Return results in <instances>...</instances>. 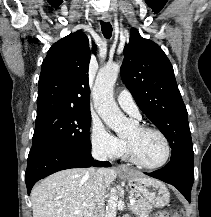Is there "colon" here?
Segmentation results:
<instances>
[{
    "mask_svg": "<svg viewBox=\"0 0 211 217\" xmlns=\"http://www.w3.org/2000/svg\"><path fill=\"white\" fill-rule=\"evenodd\" d=\"M156 217H179V215L171 214V213L163 211V212L158 213Z\"/></svg>",
    "mask_w": 211,
    "mask_h": 217,
    "instance_id": "colon-1",
    "label": "colon"
}]
</instances>
